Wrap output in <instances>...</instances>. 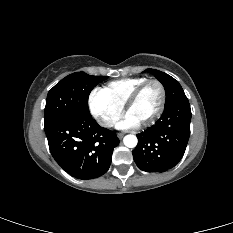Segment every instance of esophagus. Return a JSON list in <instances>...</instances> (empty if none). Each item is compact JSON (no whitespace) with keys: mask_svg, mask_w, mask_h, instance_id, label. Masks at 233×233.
<instances>
[{"mask_svg":"<svg viewBox=\"0 0 233 233\" xmlns=\"http://www.w3.org/2000/svg\"><path fill=\"white\" fill-rule=\"evenodd\" d=\"M123 136H124V134H123V133H118V134H117V137H118L119 139H122V138H123Z\"/></svg>","mask_w":233,"mask_h":233,"instance_id":"34e87169","label":"esophagus"}]
</instances>
